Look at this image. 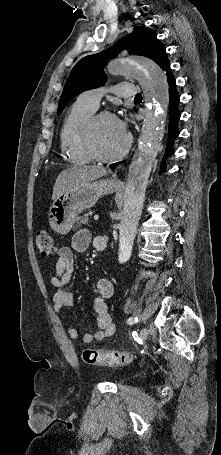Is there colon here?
Segmentation results:
<instances>
[{"label": "colon", "instance_id": "5ec220e1", "mask_svg": "<svg viewBox=\"0 0 221 455\" xmlns=\"http://www.w3.org/2000/svg\"><path fill=\"white\" fill-rule=\"evenodd\" d=\"M36 246L42 256H49L55 251L53 238L47 231L38 232ZM82 358L89 365L111 367L127 365L133 361V355L128 352L101 351L89 348L82 351Z\"/></svg>", "mask_w": 221, "mask_h": 455}]
</instances>
